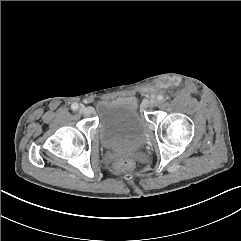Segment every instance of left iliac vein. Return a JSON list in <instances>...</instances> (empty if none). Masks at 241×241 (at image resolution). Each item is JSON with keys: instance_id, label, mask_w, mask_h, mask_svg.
Here are the masks:
<instances>
[{"instance_id": "left-iliac-vein-1", "label": "left iliac vein", "mask_w": 241, "mask_h": 241, "mask_svg": "<svg viewBox=\"0 0 241 241\" xmlns=\"http://www.w3.org/2000/svg\"><path fill=\"white\" fill-rule=\"evenodd\" d=\"M157 105V100L156 99H154V98H152V99H150V100H146L145 102H144V107H154V106H156Z\"/></svg>"}]
</instances>
